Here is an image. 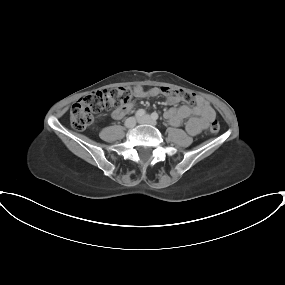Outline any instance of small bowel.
<instances>
[{
  "label": "small bowel",
  "mask_w": 285,
  "mask_h": 285,
  "mask_svg": "<svg viewBox=\"0 0 285 285\" xmlns=\"http://www.w3.org/2000/svg\"><path fill=\"white\" fill-rule=\"evenodd\" d=\"M162 94L159 87H153L146 90L141 85L133 88L134 98L155 97ZM168 103L176 105L181 102L178 95H167ZM134 103L128 102L120 107L115 108L111 115L114 119H121L132 107ZM164 117L173 126L181 125L186 119V130L190 135H196L206 129L209 123L215 119L216 113L209 102L202 96H197L194 106L181 105L172 107L164 113Z\"/></svg>",
  "instance_id": "c3829d8e"
}]
</instances>
